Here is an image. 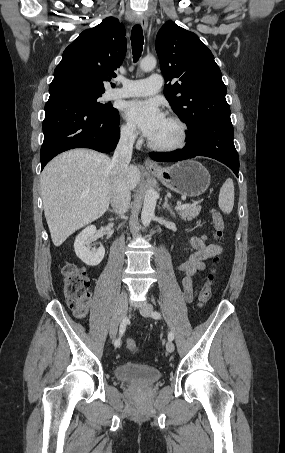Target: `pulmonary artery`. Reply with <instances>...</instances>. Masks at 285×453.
<instances>
[{"label": "pulmonary artery", "instance_id": "obj_1", "mask_svg": "<svg viewBox=\"0 0 285 453\" xmlns=\"http://www.w3.org/2000/svg\"><path fill=\"white\" fill-rule=\"evenodd\" d=\"M120 81L122 86L112 89L108 94L109 98L145 97L153 95L160 90L163 84V77L160 74L154 73L145 79H120Z\"/></svg>", "mask_w": 285, "mask_h": 453}]
</instances>
